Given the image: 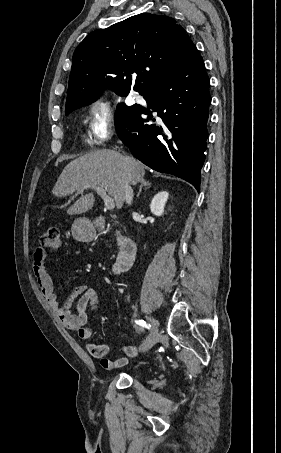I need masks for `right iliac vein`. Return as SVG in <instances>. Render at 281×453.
<instances>
[{
  "label": "right iliac vein",
  "instance_id": "63e3f726",
  "mask_svg": "<svg viewBox=\"0 0 281 453\" xmlns=\"http://www.w3.org/2000/svg\"><path fill=\"white\" fill-rule=\"evenodd\" d=\"M152 323L155 327L158 325L155 320ZM157 333H158V330L156 328H153L151 330L150 336L146 338V341H144L143 345L139 346V349H142V351L144 353H146L147 350H151V348H153V346H155V340L158 337Z\"/></svg>",
  "mask_w": 281,
  "mask_h": 453
}]
</instances>
